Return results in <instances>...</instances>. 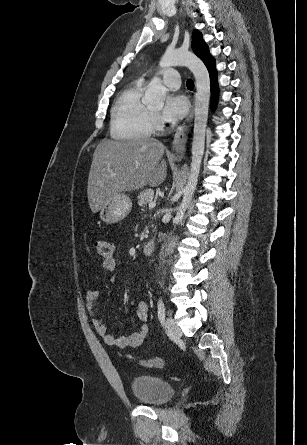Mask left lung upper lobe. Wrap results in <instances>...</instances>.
Wrapping results in <instances>:
<instances>
[{
  "mask_svg": "<svg viewBox=\"0 0 307 445\" xmlns=\"http://www.w3.org/2000/svg\"><path fill=\"white\" fill-rule=\"evenodd\" d=\"M192 48L195 54L207 65L214 58L211 57L207 44L203 41L202 35L195 30L192 35Z\"/></svg>",
  "mask_w": 307,
  "mask_h": 445,
  "instance_id": "obj_1",
  "label": "left lung upper lobe"
}]
</instances>
